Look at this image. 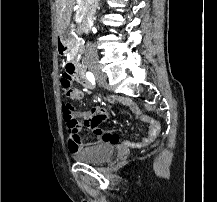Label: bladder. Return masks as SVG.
I'll return each instance as SVG.
<instances>
[{
  "instance_id": "bladder-1",
  "label": "bladder",
  "mask_w": 217,
  "mask_h": 202,
  "mask_svg": "<svg viewBox=\"0 0 217 202\" xmlns=\"http://www.w3.org/2000/svg\"><path fill=\"white\" fill-rule=\"evenodd\" d=\"M114 149L113 143H100L78 152L75 154V158L84 162L98 163L106 158H111Z\"/></svg>"
}]
</instances>
